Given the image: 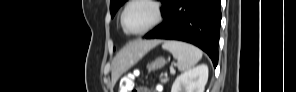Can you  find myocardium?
I'll return each instance as SVG.
<instances>
[{"instance_id": "1", "label": "myocardium", "mask_w": 296, "mask_h": 92, "mask_svg": "<svg viewBox=\"0 0 296 92\" xmlns=\"http://www.w3.org/2000/svg\"><path fill=\"white\" fill-rule=\"evenodd\" d=\"M134 3H146L149 4L153 10H154V20L152 21L151 24H149L146 28L139 30V31H129L126 26H125V13L127 11V9ZM162 8L160 6V4L157 1L154 0H131L129 1L126 6L124 7L121 16H120V23H121V27L123 29V31L128 34V35H134V36H138V35H143L147 32H149L150 30H152L153 28H155L162 20Z\"/></svg>"}]
</instances>
